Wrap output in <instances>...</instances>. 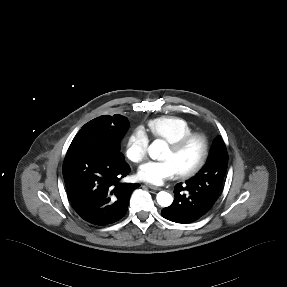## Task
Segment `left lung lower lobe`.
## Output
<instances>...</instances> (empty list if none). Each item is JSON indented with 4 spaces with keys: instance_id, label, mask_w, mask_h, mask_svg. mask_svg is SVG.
<instances>
[{
    "instance_id": "obj_1",
    "label": "left lung lower lobe",
    "mask_w": 287,
    "mask_h": 287,
    "mask_svg": "<svg viewBox=\"0 0 287 287\" xmlns=\"http://www.w3.org/2000/svg\"><path fill=\"white\" fill-rule=\"evenodd\" d=\"M175 199L161 214L164 218L176 223H191L207 213L218 198L219 193H205L198 186L186 182L174 187Z\"/></svg>"
}]
</instances>
